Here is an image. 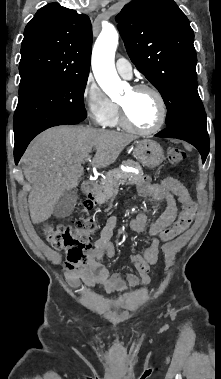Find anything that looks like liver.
I'll return each instance as SVG.
<instances>
[{"mask_svg":"<svg viewBox=\"0 0 221 379\" xmlns=\"http://www.w3.org/2000/svg\"><path fill=\"white\" fill-rule=\"evenodd\" d=\"M134 139L130 134L81 126L55 127L38 135L21 159L25 178L32 185L28 198L32 222L49 219L63 192L78 186L82 163L92 151V166L105 168Z\"/></svg>","mask_w":221,"mask_h":379,"instance_id":"1","label":"liver"}]
</instances>
